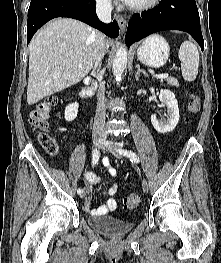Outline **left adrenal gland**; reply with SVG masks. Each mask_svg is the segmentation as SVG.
Returning <instances> with one entry per match:
<instances>
[{"instance_id": "obj_1", "label": "left adrenal gland", "mask_w": 221, "mask_h": 263, "mask_svg": "<svg viewBox=\"0 0 221 263\" xmlns=\"http://www.w3.org/2000/svg\"><path fill=\"white\" fill-rule=\"evenodd\" d=\"M140 74H143V75L147 76V73L144 70L140 69V65L138 64L136 66V73H135V79L136 80H138Z\"/></svg>"}]
</instances>
